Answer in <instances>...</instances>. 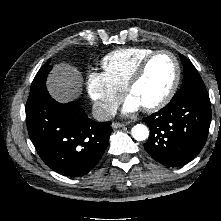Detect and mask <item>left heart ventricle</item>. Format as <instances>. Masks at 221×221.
<instances>
[{"instance_id":"b2bd125f","label":"left heart ventricle","mask_w":221,"mask_h":221,"mask_svg":"<svg viewBox=\"0 0 221 221\" xmlns=\"http://www.w3.org/2000/svg\"><path fill=\"white\" fill-rule=\"evenodd\" d=\"M174 75L175 65L172 58L167 54H160L150 62L143 78L133 88L130 96L142 107L153 104L168 91Z\"/></svg>"}]
</instances>
